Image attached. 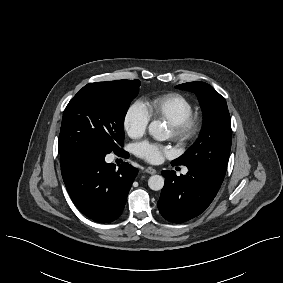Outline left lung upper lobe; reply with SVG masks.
I'll return each mask as SVG.
<instances>
[{
    "label": "left lung upper lobe",
    "mask_w": 283,
    "mask_h": 283,
    "mask_svg": "<svg viewBox=\"0 0 283 283\" xmlns=\"http://www.w3.org/2000/svg\"><path fill=\"white\" fill-rule=\"evenodd\" d=\"M177 88L194 92L200 102L204 125L193 146L174 165L201 169L224 179L231 149V122L226 101L212 86L204 82H188Z\"/></svg>",
    "instance_id": "obj_1"
}]
</instances>
